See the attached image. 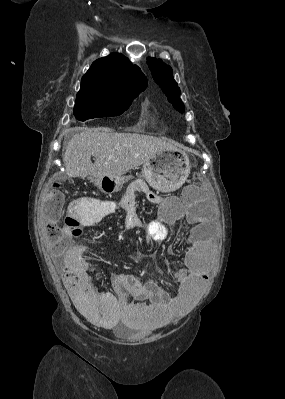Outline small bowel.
<instances>
[{
    "label": "small bowel",
    "instance_id": "small-bowel-1",
    "mask_svg": "<svg viewBox=\"0 0 285 399\" xmlns=\"http://www.w3.org/2000/svg\"><path fill=\"white\" fill-rule=\"evenodd\" d=\"M137 192H144L150 202L179 219L194 218L198 212L196 207L190 208L172 199L163 200L136 182L127 188L119 202L99 201L92 197L74 199L68 206L64 229L78 238L85 227L96 226L107 215L122 211L128 229L143 228L147 241L167 240L169 231L160 219L141 221L136 208ZM202 235L201 229L189 235L183 264L168 277V281L178 288L176 295L169 294L152 281L139 282L129 274L114 276L112 291H96L88 271L90 251L80 241L69 242L64 247V286L74 307L100 327L114 328L126 322L146 331L158 329L186 316L202 290L207 276ZM90 301L95 306L88 305Z\"/></svg>",
    "mask_w": 285,
    "mask_h": 399
}]
</instances>
